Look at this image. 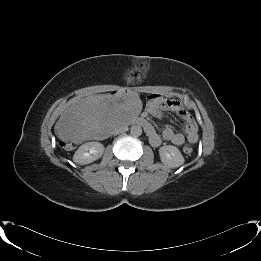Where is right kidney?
<instances>
[{
  "instance_id": "right-kidney-1",
  "label": "right kidney",
  "mask_w": 261,
  "mask_h": 261,
  "mask_svg": "<svg viewBox=\"0 0 261 261\" xmlns=\"http://www.w3.org/2000/svg\"><path fill=\"white\" fill-rule=\"evenodd\" d=\"M104 149L100 142L84 143L75 151L73 161L79 165L92 163L103 155Z\"/></svg>"
}]
</instances>
